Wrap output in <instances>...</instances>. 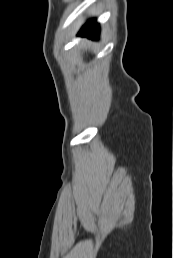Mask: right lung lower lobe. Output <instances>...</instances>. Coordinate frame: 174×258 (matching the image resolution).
Here are the masks:
<instances>
[{"instance_id":"obj_1","label":"right lung lower lobe","mask_w":174,"mask_h":258,"mask_svg":"<svg viewBox=\"0 0 174 258\" xmlns=\"http://www.w3.org/2000/svg\"><path fill=\"white\" fill-rule=\"evenodd\" d=\"M79 35L97 39L99 36V25L95 22V20H89L88 23L83 26L79 32Z\"/></svg>"}]
</instances>
